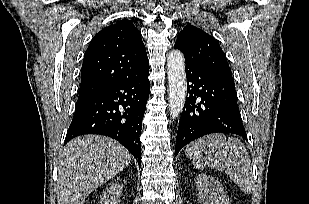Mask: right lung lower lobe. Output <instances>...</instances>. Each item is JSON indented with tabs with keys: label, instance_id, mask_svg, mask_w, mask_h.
<instances>
[{
	"label": "right lung lower lobe",
	"instance_id": "1",
	"mask_svg": "<svg viewBox=\"0 0 309 204\" xmlns=\"http://www.w3.org/2000/svg\"><path fill=\"white\" fill-rule=\"evenodd\" d=\"M149 68L139 75L79 97L65 143L85 134L118 140L140 164L139 135L150 92Z\"/></svg>",
	"mask_w": 309,
	"mask_h": 204
}]
</instances>
